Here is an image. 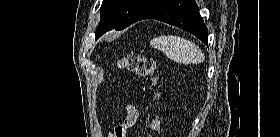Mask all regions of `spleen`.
Masks as SVG:
<instances>
[{
    "mask_svg": "<svg viewBox=\"0 0 280 137\" xmlns=\"http://www.w3.org/2000/svg\"><path fill=\"white\" fill-rule=\"evenodd\" d=\"M150 45L163 51L167 58L177 63L199 64L204 61L200 48L193 42L174 35H162L151 40Z\"/></svg>",
    "mask_w": 280,
    "mask_h": 137,
    "instance_id": "1",
    "label": "spleen"
}]
</instances>
